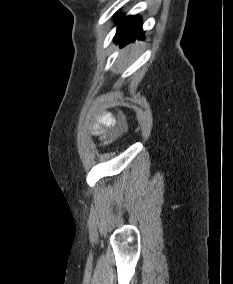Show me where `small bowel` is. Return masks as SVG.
<instances>
[{"mask_svg":"<svg viewBox=\"0 0 233 284\" xmlns=\"http://www.w3.org/2000/svg\"><path fill=\"white\" fill-rule=\"evenodd\" d=\"M116 127V122L111 116H105L102 119L101 125L96 126L95 133L102 135L105 133V128H114Z\"/></svg>","mask_w":233,"mask_h":284,"instance_id":"small-bowel-1","label":"small bowel"}]
</instances>
